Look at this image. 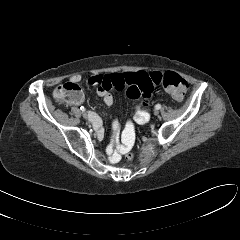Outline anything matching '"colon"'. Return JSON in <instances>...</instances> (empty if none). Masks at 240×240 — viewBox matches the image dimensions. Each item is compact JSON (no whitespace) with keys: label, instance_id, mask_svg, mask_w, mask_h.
I'll return each mask as SVG.
<instances>
[{"label":"colon","instance_id":"obj_1","mask_svg":"<svg viewBox=\"0 0 240 240\" xmlns=\"http://www.w3.org/2000/svg\"><path fill=\"white\" fill-rule=\"evenodd\" d=\"M153 83L163 87L174 99L181 100L188 90V83L175 72H154L151 74ZM83 96L81 87L74 82H68L58 86L54 91V97L59 102H71ZM133 133H125L123 136V148L127 159H132L131 147Z\"/></svg>","mask_w":240,"mask_h":240}]
</instances>
